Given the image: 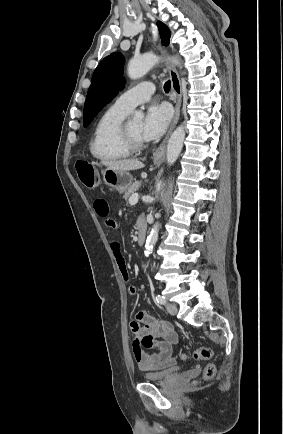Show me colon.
<instances>
[{
    "label": "colon",
    "instance_id": "1",
    "mask_svg": "<svg viewBox=\"0 0 283 434\" xmlns=\"http://www.w3.org/2000/svg\"><path fill=\"white\" fill-rule=\"evenodd\" d=\"M76 171L81 183L90 189L95 188L98 185V173L95 167L87 162H78L76 164ZM193 358L196 360H209L212 357V350L209 347L197 348L193 354ZM182 359H186L187 355L182 354ZM215 374V366L208 364L204 370L203 377L205 379L212 378Z\"/></svg>",
    "mask_w": 283,
    "mask_h": 434
}]
</instances>
